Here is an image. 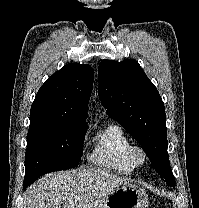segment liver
<instances>
[{"instance_id":"6515ba94","label":"liver","mask_w":199,"mask_h":208,"mask_svg":"<svg viewBox=\"0 0 199 208\" xmlns=\"http://www.w3.org/2000/svg\"><path fill=\"white\" fill-rule=\"evenodd\" d=\"M129 179L102 169L54 172L26 190L25 208H94Z\"/></svg>"}]
</instances>
